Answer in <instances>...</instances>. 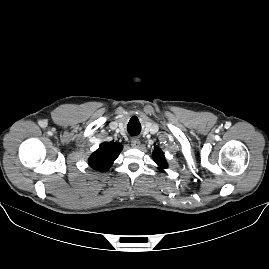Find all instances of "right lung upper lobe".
I'll return each instance as SVG.
<instances>
[{"label": "right lung upper lobe", "instance_id": "right-lung-upper-lobe-1", "mask_svg": "<svg viewBox=\"0 0 269 269\" xmlns=\"http://www.w3.org/2000/svg\"><path fill=\"white\" fill-rule=\"evenodd\" d=\"M122 145L116 142H104L90 156L89 165L98 171H107L122 151Z\"/></svg>", "mask_w": 269, "mask_h": 269}]
</instances>
